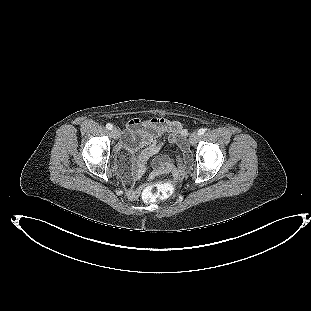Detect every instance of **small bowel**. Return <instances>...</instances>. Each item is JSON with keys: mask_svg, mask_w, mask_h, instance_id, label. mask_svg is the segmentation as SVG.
I'll list each match as a JSON object with an SVG mask.
<instances>
[{"mask_svg": "<svg viewBox=\"0 0 311 311\" xmlns=\"http://www.w3.org/2000/svg\"><path fill=\"white\" fill-rule=\"evenodd\" d=\"M185 136L186 130L178 121L165 118L128 121L119 145L121 172L125 175L129 174L133 178H140L147 170L148 161L169 142L177 145L183 151L182 158L178 160L177 164H173L167 156H162L155 161L154 169L156 172L161 170L170 172L176 180L183 178L191 162ZM160 137H164V140L159 141ZM138 151H140L139 155L135 156ZM121 163H124V167L121 166ZM129 164L130 167H128ZM128 192L130 196L135 197L138 194V189L129 183Z\"/></svg>", "mask_w": 311, "mask_h": 311, "instance_id": "1", "label": "small bowel"}]
</instances>
